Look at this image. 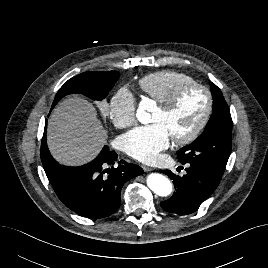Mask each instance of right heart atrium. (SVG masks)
Wrapping results in <instances>:
<instances>
[{
  "instance_id": "obj_1",
  "label": "right heart atrium",
  "mask_w": 268,
  "mask_h": 268,
  "mask_svg": "<svg viewBox=\"0 0 268 268\" xmlns=\"http://www.w3.org/2000/svg\"><path fill=\"white\" fill-rule=\"evenodd\" d=\"M137 99L127 87L118 88L110 98L108 116L117 127L127 128L136 121Z\"/></svg>"
}]
</instances>
